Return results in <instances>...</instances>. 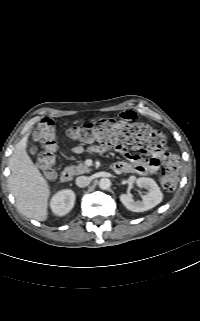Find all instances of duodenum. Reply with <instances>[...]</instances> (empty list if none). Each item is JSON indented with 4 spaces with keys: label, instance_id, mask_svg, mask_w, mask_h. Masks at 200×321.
<instances>
[{
    "label": "duodenum",
    "instance_id": "obj_1",
    "mask_svg": "<svg viewBox=\"0 0 200 321\" xmlns=\"http://www.w3.org/2000/svg\"><path fill=\"white\" fill-rule=\"evenodd\" d=\"M73 173L70 167H65L61 174H60V179L63 182H68L72 179Z\"/></svg>",
    "mask_w": 200,
    "mask_h": 321
}]
</instances>
